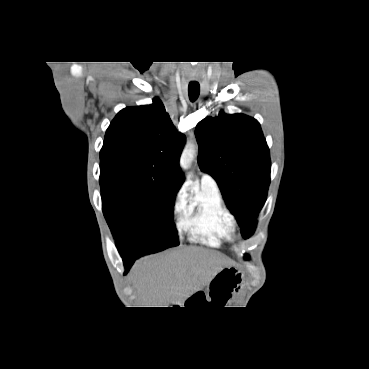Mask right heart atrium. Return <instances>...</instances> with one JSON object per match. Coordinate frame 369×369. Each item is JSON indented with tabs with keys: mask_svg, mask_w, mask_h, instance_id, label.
I'll return each mask as SVG.
<instances>
[{
	"mask_svg": "<svg viewBox=\"0 0 369 369\" xmlns=\"http://www.w3.org/2000/svg\"><path fill=\"white\" fill-rule=\"evenodd\" d=\"M185 201L186 200L183 191H179L175 198L174 210L176 212H182L185 205Z\"/></svg>",
	"mask_w": 369,
	"mask_h": 369,
	"instance_id": "right-heart-atrium-1",
	"label": "right heart atrium"
}]
</instances>
